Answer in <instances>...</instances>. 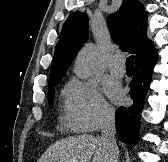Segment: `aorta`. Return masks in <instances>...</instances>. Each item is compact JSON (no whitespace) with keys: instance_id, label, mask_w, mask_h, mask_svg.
Masks as SVG:
<instances>
[{"instance_id":"aorta-1","label":"aorta","mask_w":168,"mask_h":162,"mask_svg":"<svg viewBox=\"0 0 168 162\" xmlns=\"http://www.w3.org/2000/svg\"><path fill=\"white\" fill-rule=\"evenodd\" d=\"M98 55L94 44H86L77 55L75 74L81 79L88 78L97 64Z\"/></svg>"}]
</instances>
